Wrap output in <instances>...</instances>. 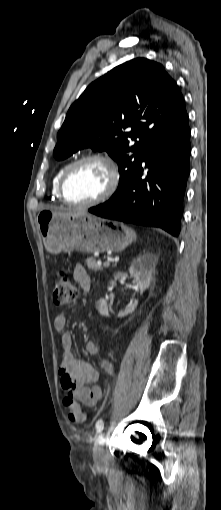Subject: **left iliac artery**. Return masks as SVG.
I'll return each instance as SVG.
<instances>
[{
	"label": "left iliac artery",
	"mask_w": 221,
	"mask_h": 510,
	"mask_svg": "<svg viewBox=\"0 0 221 510\" xmlns=\"http://www.w3.org/2000/svg\"><path fill=\"white\" fill-rule=\"evenodd\" d=\"M104 428V421L102 419H99L97 422H96V430H97V433L100 434L102 432Z\"/></svg>",
	"instance_id": "obj_1"
}]
</instances>
